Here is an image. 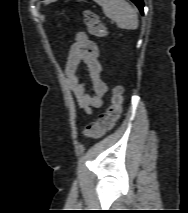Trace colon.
Instances as JSON below:
<instances>
[{
  "mask_svg": "<svg viewBox=\"0 0 188 213\" xmlns=\"http://www.w3.org/2000/svg\"><path fill=\"white\" fill-rule=\"evenodd\" d=\"M83 21L92 35L97 37L105 36L106 29L96 13L91 10H84ZM123 102V89L120 86H114L111 103L107 111L101 113L95 122L84 128V135L87 137H100L110 131L122 114Z\"/></svg>",
  "mask_w": 188,
  "mask_h": 213,
  "instance_id": "colon-1",
  "label": "colon"
}]
</instances>
